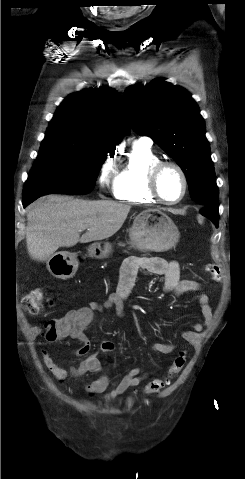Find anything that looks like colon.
I'll use <instances>...</instances> for the list:
<instances>
[{
	"label": "colon",
	"mask_w": 245,
	"mask_h": 479,
	"mask_svg": "<svg viewBox=\"0 0 245 479\" xmlns=\"http://www.w3.org/2000/svg\"><path fill=\"white\" fill-rule=\"evenodd\" d=\"M206 271L212 278L219 276V268L215 264H207ZM49 302L45 292L40 289H34L27 293L22 299L23 309L30 314L39 313L44 306ZM67 332V327L64 323L57 320H51L45 325V338L47 340H56L64 338ZM186 364V353L181 351L173 359L169 366L167 373L159 378L149 381L143 388V392L147 395H154L161 392L163 389L171 384V381L176 378Z\"/></svg>",
	"instance_id": "1"
}]
</instances>
